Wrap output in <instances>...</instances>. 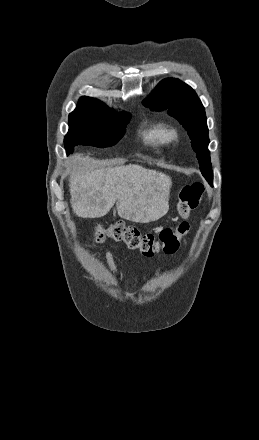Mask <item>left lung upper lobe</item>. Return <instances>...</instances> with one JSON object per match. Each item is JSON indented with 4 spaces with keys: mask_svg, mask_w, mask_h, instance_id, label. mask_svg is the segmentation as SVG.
<instances>
[{
    "mask_svg": "<svg viewBox=\"0 0 259 440\" xmlns=\"http://www.w3.org/2000/svg\"><path fill=\"white\" fill-rule=\"evenodd\" d=\"M151 109H168L188 131L193 150L199 160L200 170L212 185L213 172L208 150L209 138L205 109L195 91L178 79L162 80L154 91L143 101Z\"/></svg>",
    "mask_w": 259,
    "mask_h": 440,
    "instance_id": "5c2ea615",
    "label": "left lung upper lobe"
}]
</instances>
